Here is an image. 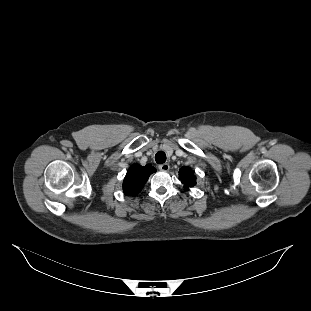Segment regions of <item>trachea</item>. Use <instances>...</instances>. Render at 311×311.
Here are the masks:
<instances>
[{
	"label": "trachea",
	"mask_w": 311,
	"mask_h": 311,
	"mask_svg": "<svg viewBox=\"0 0 311 311\" xmlns=\"http://www.w3.org/2000/svg\"><path fill=\"white\" fill-rule=\"evenodd\" d=\"M155 161L158 164H162L166 161V154L163 151H159L155 155Z\"/></svg>",
	"instance_id": "trachea-1"
}]
</instances>
